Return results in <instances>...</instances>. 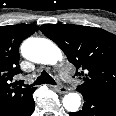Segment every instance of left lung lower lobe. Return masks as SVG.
Returning <instances> with one entry per match:
<instances>
[{
	"instance_id": "0a47b994",
	"label": "left lung lower lobe",
	"mask_w": 116,
	"mask_h": 116,
	"mask_svg": "<svg viewBox=\"0 0 116 116\" xmlns=\"http://www.w3.org/2000/svg\"><path fill=\"white\" fill-rule=\"evenodd\" d=\"M84 105L78 112L70 116H115L116 96L96 92H81Z\"/></svg>"
}]
</instances>
